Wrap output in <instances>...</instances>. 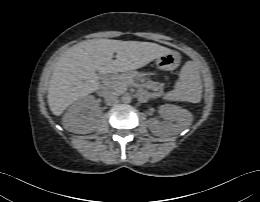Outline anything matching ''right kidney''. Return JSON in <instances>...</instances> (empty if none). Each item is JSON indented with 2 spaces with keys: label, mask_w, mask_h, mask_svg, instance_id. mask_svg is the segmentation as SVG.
<instances>
[{
  "label": "right kidney",
  "mask_w": 260,
  "mask_h": 202,
  "mask_svg": "<svg viewBox=\"0 0 260 202\" xmlns=\"http://www.w3.org/2000/svg\"><path fill=\"white\" fill-rule=\"evenodd\" d=\"M94 102L93 96H85L75 102L63 117L64 128L77 134L95 131L100 124L101 112L93 109Z\"/></svg>",
  "instance_id": "right-kidney-1"
}]
</instances>
